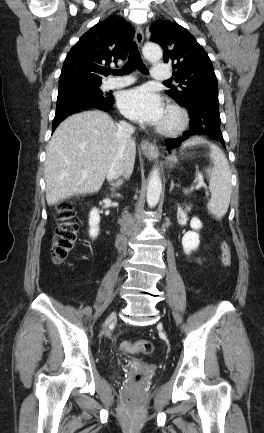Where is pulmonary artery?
I'll return each mask as SVG.
<instances>
[{"instance_id": "e3ab8cb5", "label": "pulmonary artery", "mask_w": 264, "mask_h": 433, "mask_svg": "<svg viewBox=\"0 0 264 433\" xmlns=\"http://www.w3.org/2000/svg\"><path fill=\"white\" fill-rule=\"evenodd\" d=\"M171 77V71L168 67L162 65H154L152 68L151 78L154 80H167ZM133 82L131 77H121L109 79L105 82L106 89H116L129 85Z\"/></svg>"}]
</instances>
